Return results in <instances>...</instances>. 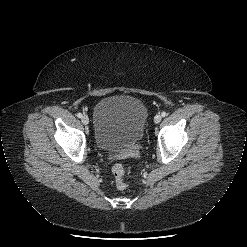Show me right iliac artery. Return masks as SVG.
<instances>
[{"label":"right iliac artery","instance_id":"1","mask_svg":"<svg viewBox=\"0 0 247 247\" xmlns=\"http://www.w3.org/2000/svg\"><path fill=\"white\" fill-rule=\"evenodd\" d=\"M77 117L78 118H82V114L81 113H77Z\"/></svg>","mask_w":247,"mask_h":247}]
</instances>
